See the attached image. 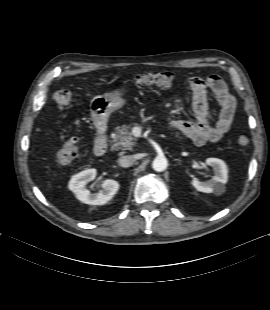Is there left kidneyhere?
Returning a JSON list of instances; mask_svg holds the SVG:
<instances>
[{"label": "left kidney", "mask_w": 270, "mask_h": 310, "mask_svg": "<svg viewBox=\"0 0 270 310\" xmlns=\"http://www.w3.org/2000/svg\"><path fill=\"white\" fill-rule=\"evenodd\" d=\"M206 164L214 170V176L208 181L193 179L191 184L200 192L221 195L225 192L224 184L228 181V169L225 162L218 158H207Z\"/></svg>", "instance_id": "left-kidney-1"}]
</instances>
